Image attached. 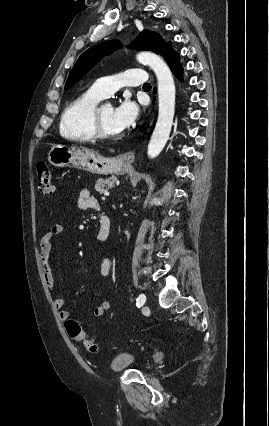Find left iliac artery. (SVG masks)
Here are the masks:
<instances>
[{"mask_svg":"<svg viewBox=\"0 0 269 426\" xmlns=\"http://www.w3.org/2000/svg\"><path fill=\"white\" fill-rule=\"evenodd\" d=\"M145 301H146L145 295L144 294L139 295V297L136 299V306L140 308L141 306H143Z\"/></svg>","mask_w":269,"mask_h":426,"instance_id":"1","label":"left iliac artery"}]
</instances>
